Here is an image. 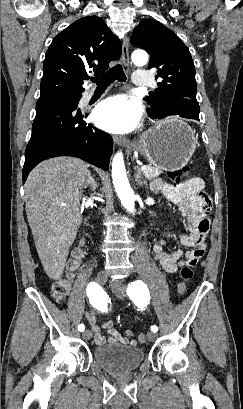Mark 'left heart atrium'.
Returning a JSON list of instances; mask_svg holds the SVG:
<instances>
[{
    "label": "left heart atrium",
    "mask_w": 243,
    "mask_h": 409,
    "mask_svg": "<svg viewBox=\"0 0 243 409\" xmlns=\"http://www.w3.org/2000/svg\"><path fill=\"white\" fill-rule=\"evenodd\" d=\"M95 123L111 133L133 130L141 118L140 104L124 95H116L102 101L94 111Z\"/></svg>",
    "instance_id": "left-heart-atrium-1"
}]
</instances>
